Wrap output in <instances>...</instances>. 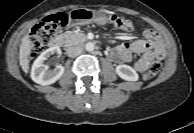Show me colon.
<instances>
[{"mask_svg": "<svg viewBox=\"0 0 194 133\" xmlns=\"http://www.w3.org/2000/svg\"><path fill=\"white\" fill-rule=\"evenodd\" d=\"M67 20V14L59 13L45 18L41 23L36 25L33 28L30 38L31 55L35 56L41 52L58 30L67 23ZM110 22L119 29H134V23L130 19L121 15L110 16ZM160 68L161 65L159 62L156 61L152 63L145 72L144 79L149 80L153 78L159 72Z\"/></svg>", "mask_w": 194, "mask_h": 133, "instance_id": "obj_1", "label": "colon"}]
</instances>
